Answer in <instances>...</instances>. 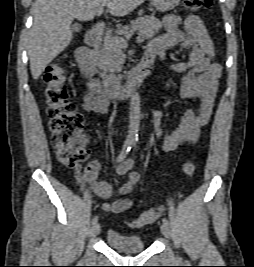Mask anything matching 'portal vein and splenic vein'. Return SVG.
Listing matches in <instances>:
<instances>
[{"label":"portal vein and splenic vein","instance_id":"obj_1","mask_svg":"<svg viewBox=\"0 0 254 267\" xmlns=\"http://www.w3.org/2000/svg\"><path fill=\"white\" fill-rule=\"evenodd\" d=\"M103 11H104L103 7H99V8L96 9L95 13H96L97 16H100L103 13ZM143 41H144V36L139 35L137 37V42L138 43H142ZM126 46H127V43L124 42L123 43V47H126Z\"/></svg>","mask_w":254,"mask_h":267}]
</instances>
